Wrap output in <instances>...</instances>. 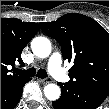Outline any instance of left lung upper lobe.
Segmentation results:
<instances>
[{
    "label": "left lung upper lobe",
    "mask_w": 109,
    "mask_h": 109,
    "mask_svg": "<svg viewBox=\"0 0 109 109\" xmlns=\"http://www.w3.org/2000/svg\"><path fill=\"white\" fill-rule=\"evenodd\" d=\"M61 45L64 60L73 61L71 82L109 94V33L95 20L68 13L56 21L39 24Z\"/></svg>",
    "instance_id": "5c2ea615"
}]
</instances>
